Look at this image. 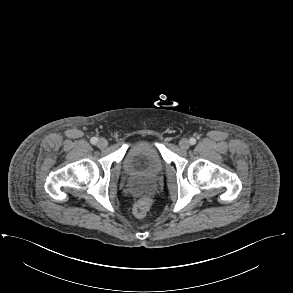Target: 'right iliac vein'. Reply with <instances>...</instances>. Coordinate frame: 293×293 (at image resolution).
<instances>
[{
	"instance_id": "63e3f726",
	"label": "right iliac vein",
	"mask_w": 293,
	"mask_h": 293,
	"mask_svg": "<svg viewBox=\"0 0 293 293\" xmlns=\"http://www.w3.org/2000/svg\"><path fill=\"white\" fill-rule=\"evenodd\" d=\"M97 145H98L100 148H105V147H107L108 142H107V140H106L105 138H101V139L98 140Z\"/></svg>"
}]
</instances>
